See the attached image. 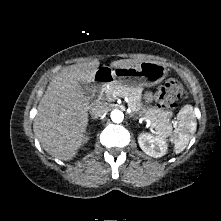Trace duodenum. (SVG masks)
<instances>
[{"label": "duodenum", "mask_w": 221, "mask_h": 221, "mask_svg": "<svg viewBox=\"0 0 221 221\" xmlns=\"http://www.w3.org/2000/svg\"><path fill=\"white\" fill-rule=\"evenodd\" d=\"M111 80H112V77L109 72H106V71L98 72L95 76V86L96 88H100L105 83H108Z\"/></svg>", "instance_id": "1"}]
</instances>
